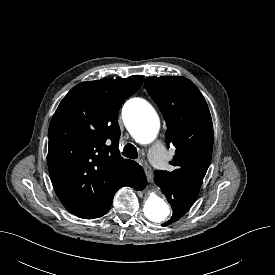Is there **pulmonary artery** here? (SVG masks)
<instances>
[{"instance_id":"1","label":"pulmonary artery","mask_w":275,"mask_h":275,"mask_svg":"<svg viewBox=\"0 0 275 275\" xmlns=\"http://www.w3.org/2000/svg\"><path fill=\"white\" fill-rule=\"evenodd\" d=\"M149 156L152 163L155 166L160 167L164 163L163 146L160 143H155L149 151Z\"/></svg>"}]
</instances>
